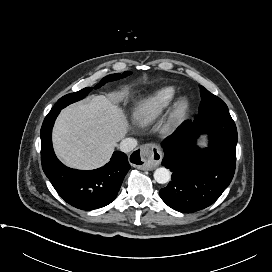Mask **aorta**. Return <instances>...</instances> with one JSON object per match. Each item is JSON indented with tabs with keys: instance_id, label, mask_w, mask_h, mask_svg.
I'll use <instances>...</instances> for the list:
<instances>
[{
	"instance_id": "aorta-1",
	"label": "aorta",
	"mask_w": 272,
	"mask_h": 272,
	"mask_svg": "<svg viewBox=\"0 0 272 272\" xmlns=\"http://www.w3.org/2000/svg\"><path fill=\"white\" fill-rule=\"evenodd\" d=\"M171 174L165 167H160L154 172V179L159 184H165L170 181Z\"/></svg>"
}]
</instances>
